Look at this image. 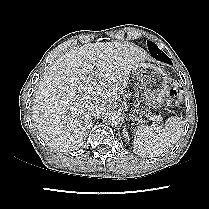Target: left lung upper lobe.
Segmentation results:
<instances>
[{
    "mask_svg": "<svg viewBox=\"0 0 209 209\" xmlns=\"http://www.w3.org/2000/svg\"><path fill=\"white\" fill-rule=\"evenodd\" d=\"M147 46L150 54L152 55L153 58H155L158 61H162L164 63H168L172 65L171 60L168 58V56L162 52L156 44H154L151 41H147Z\"/></svg>",
    "mask_w": 209,
    "mask_h": 209,
    "instance_id": "left-lung-upper-lobe-1",
    "label": "left lung upper lobe"
}]
</instances>
